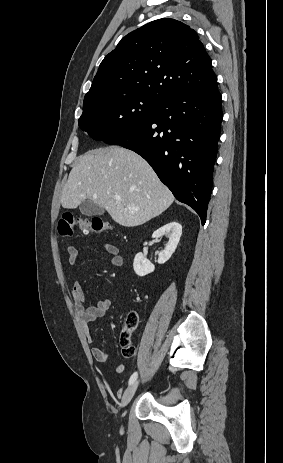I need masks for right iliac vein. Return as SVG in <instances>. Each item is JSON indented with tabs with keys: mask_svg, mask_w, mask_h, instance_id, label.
Listing matches in <instances>:
<instances>
[{
	"mask_svg": "<svg viewBox=\"0 0 283 463\" xmlns=\"http://www.w3.org/2000/svg\"><path fill=\"white\" fill-rule=\"evenodd\" d=\"M138 387V382H134L132 383L124 392L123 394V397H122V401H121V406L122 407H125L129 404V402L132 400L135 392H136V389Z\"/></svg>",
	"mask_w": 283,
	"mask_h": 463,
	"instance_id": "right-iliac-vein-1",
	"label": "right iliac vein"
}]
</instances>
